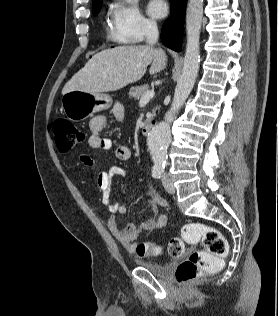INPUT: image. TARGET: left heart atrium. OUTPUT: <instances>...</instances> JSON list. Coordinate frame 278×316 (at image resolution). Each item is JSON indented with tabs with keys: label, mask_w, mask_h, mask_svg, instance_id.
<instances>
[{
	"label": "left heart atrium",
	"mask_w": 278,
	"mask_h": 316,
	"mask_svg": "<svg viewBox=\"0 0 278 316\" xmlns=\"http://www.w3.org/2000/svg\"><path fill=\"white\" fill-rule=\"evenodd\" d=\"M147 11L154 18H163L168 13V4L165 0H150Z\"/></svg>",
	"instance_id": "left-heart-atrium-1"
}]
</instances>
